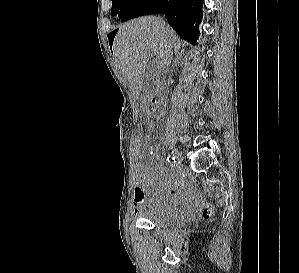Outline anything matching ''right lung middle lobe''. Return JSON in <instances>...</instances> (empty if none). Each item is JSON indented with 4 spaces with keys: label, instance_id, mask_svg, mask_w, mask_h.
<instances>
[{
    "label": "right lung middle lobe",
    "instance_id": "dd1d6c3e",
    "mask_svg": "<svg viewBox=\"0 0 299 273\" xmlns=\"http://www.w3.org/2000/svg\"><path fill=\"white\" fill-rule=\"evenodd\" d=\"M136 0H112V16L122 18Z\"/></svg>",
    "mask_w": 299,
    "mask_h": 273
}]
</instances>
